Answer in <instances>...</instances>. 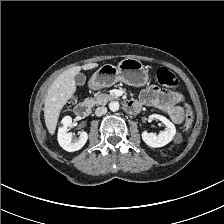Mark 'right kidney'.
<instances>
[{"label": "right kidney", "instance_id": "right-kidney-1", "mask_svg": "<svg viewBox=\"0 0 224 224\" xmlns=\"http://www.w3.org/2000/svg\"><path fill=\"white\" fill-rule=\"evenodd\" d=\"M61 124L62 126L59 127L57 134L60 146L68 152L80 150L87 142L88 134L86 132H80L79 138L73 140L72 134L67 132V128L72 126V118L70 116H65Z\"/></svg>", "mask_w": 224, "mask_h": 224}]
</instances>
